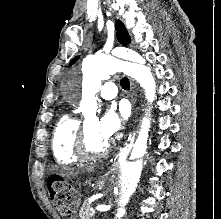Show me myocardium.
I'll return each mask as SVG.
<instances>
[{"label": "myocardium", "instance_id": "myocardium-1", "mask_svg": "<svg viewBox=\"0 0 221 219\" xmlns=\"http://www.w3.org/2000/svg\"><path fill=\"white\" fill-rule=\"evenodd\" d=\"M111 146V142H107L106 145L100 151H90L87 147L85 124H81L75 144V153L79 160L92 161L103 158L109 153Z\"/></svg>", "mask_w": 221, "mask_h": 219}]
</instances>
